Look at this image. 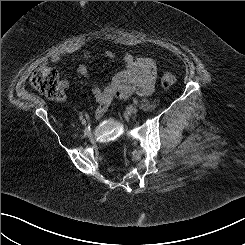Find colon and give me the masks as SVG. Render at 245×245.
<instances>
[{
    "label": "colon",
    "instance_id": "obj_1",
    "mask_svg": "<svg viewBox=\"0 0 245 245\" xmlns=\"http://www.w3.org/2000/svg\"><path fill=\"white\" fill-rule=\"evenodd\" d=\"M30 85L51 99H60L63 92L59 86L57 72L48 66H42L32 73ZM176 82V75L172 71H164L161 75V84L168 88Z\"/></svg>",
    "mask_w": 245,
    "mask_h": 245
}]
</instances>
